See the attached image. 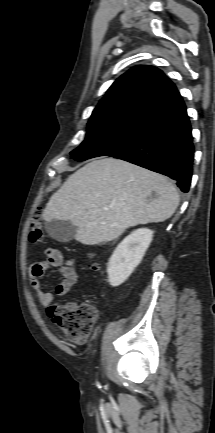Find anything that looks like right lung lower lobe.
<instances>
[{
  "instance_id": "1",
  "label": "right lung lower lobe",
  "mask_w": 215,
  "mask_h": 433,
  "mask_svg": "<svg viewBox=\"0 0 215 433\" xmlns=\"http://www.w3.org/2000/svg\"><path fill=\"white\" fill-rule=\"evenodd\" d=\"M192 128L181 96L150 114L137 135L108 155L174 180L188 192L194 159Z\"/></svg>"
}]
</instances>
